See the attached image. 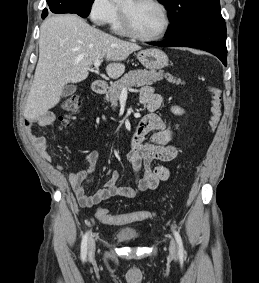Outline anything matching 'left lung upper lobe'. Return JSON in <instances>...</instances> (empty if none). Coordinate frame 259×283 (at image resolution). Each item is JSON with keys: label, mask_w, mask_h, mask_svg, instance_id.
I'll list each match as a JSON object with an SVG mask.
<instances>
[{"label": "left lung upper lobe", "mask_w": 259, "mask_h": 283, "mask_svg": "<svg viewBox=\"0 0 259 283\" xmlns=\"http://www.w3.org/2000/svg\"><path fill=\"white\" fill-rule=\"evenodd\" d=\"M168 9L171 27L167 36L178 35L221 15L219 0H158Z\"/></svg>", "instance_id": "5c2ea615"}]
</instances>
